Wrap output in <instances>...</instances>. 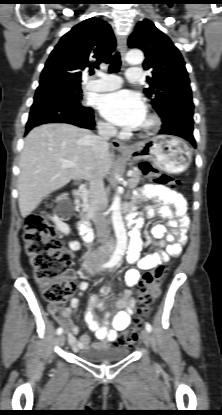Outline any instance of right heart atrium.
Returning a JSON list of instances; mask_svg holds the SVG:
<instances>
[{
  "label": "right heart atrium",
  "mask_w": 222,
  "mask_h": 415,
  "mask_svg": "<svg viewBox=\"0 0 222 415\" xmlns=\"http://www.w3.org/2000/svg\"><path fill=\"white\" fill-rule=\"evenodd\" d=\"M99 129L104 133H109L112 131V127L106 122H99Z\"/></svg>",
  "instance_id": "1"
}]
</instances>
